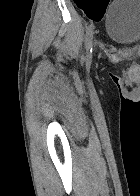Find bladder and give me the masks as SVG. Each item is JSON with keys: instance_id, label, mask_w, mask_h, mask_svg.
Instances as JSON below:
<instances>
[{"instance_id": "bladder-1", "label": "bladder", "mask_w": 140, "mask_h": 196, "mask_svg": "<svg viewBox=\"0 0 140 196\" xmlns=\"http://www.w3.org/2000/svg\"><path fill=\"white\" fill-rule=\"evenodd\" d=\"M108 38L132 48L140 44V0H115L106 14Z\"/></svg>"}]
</instances>
